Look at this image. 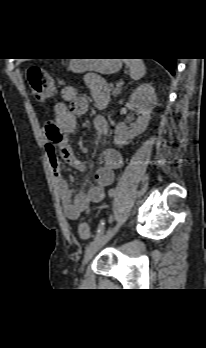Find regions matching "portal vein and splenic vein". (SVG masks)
<instances>
[{"label":"portal vein and splenic vein","instance_id":"1","mask_svg":"<svg viewBox=\"0 0 206 348\" xmlns=\"http://www.w3.org/2000/svg\"><path fill=\"white\" fill-rule=\"evenodd\" d=\"M122 85H123V82H118V83L116 84L117 87H121Z\"/></svg>","mask_w":206,"mask_h":348}]
</instances>
